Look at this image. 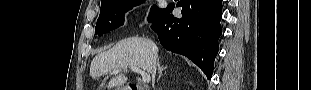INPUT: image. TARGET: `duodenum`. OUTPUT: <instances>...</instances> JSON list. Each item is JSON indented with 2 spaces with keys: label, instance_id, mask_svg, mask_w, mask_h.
I'll return each instance as SVG.
<instances>
[{
  "label": "duodenum",
  "instance_id": "duodenum-1",
  "mask_svg": "<svg viewBox=\"0 0 311 90\" xmlns=\"http://www.w3.org/2000/svg\"><path fill=\"white\" fill-rule=\"evenodd\" d=\"M126 90H146L145 87H141V86H138V85H129Z\"/></svg>",
  "mask_w": 311,
  "mask_h": 90
}]
</instances>
